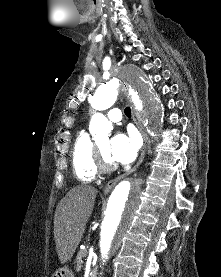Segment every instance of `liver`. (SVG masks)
<instances>
[{"instance_id": "obj_1", "label": "liver", "mask_w": 221, "mask_h": 277, "mask_svg": "<svg viewBox=\"0 0 221 277\" xmlns=\"http://www.w3.org/2000/svg\"><path fill=\"white\" fill-rule=\"evenodd\" d=\"M97 189L89 185L72 188L58 203L54 215V239L61 263L70 260L83 237L94 208Z\"/></svg>"}]
</instances>
